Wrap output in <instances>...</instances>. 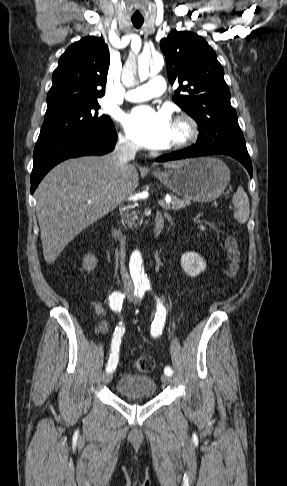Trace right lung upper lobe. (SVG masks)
Masks as SVG:
<instances>
[{"mask_svg":"<svg viewBox=\"0 0 287 486\" xmlns=\"http://www.w3.org/2000/svg\"><path fill=\"white\" fill-rule=\"evenodd\" d=\"M109 64V50L101 37H85L70 45L53 72L48 107L101 98Z\"/></svg>","mask_w":287,"mask_h":486,"instance_id":"right-lung-upper-lobe-1","label":"right lung upper lobe"}]
</instances>
